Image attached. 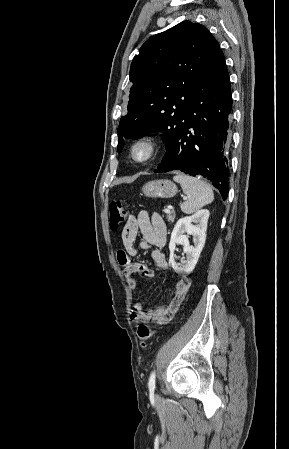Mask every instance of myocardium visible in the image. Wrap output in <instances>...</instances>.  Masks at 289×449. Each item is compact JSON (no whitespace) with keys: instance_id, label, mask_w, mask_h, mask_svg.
I'll list each match as a JSON object with an SVG mask.
<instances>
[{"instance_id":"f54148a6","label":"myocardium","mask_w":289,"mask_h":449,"mask_svg":"<svg viewBox=\"0 0 289 449\" xmlns=\"http://www.w3.org/2000/svg\"><path fill=\"white\" fill-rule=\"evenodd\" d=\"M141 147L146 149V155L143 158H138L136 156V151ZM158 150V143L153 136L142 135L132 143L130 147V157L134 162L138 164H147L157 156Z\"/></svg>"}]
</instances>
